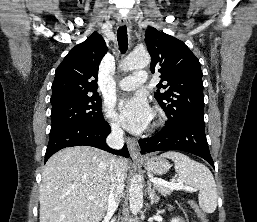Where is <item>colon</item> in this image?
Here are the masks:
<instances>
[{"label": "colon", "mask_w": 257, "mask_h": 222, "mask_svg": "<svg viewBox=\"0 0 257 222\" xmlns=\"http://www.w3.org/2000/svg\"><path fill=\"white\" fill-rule=\"evenodd\" d=\"M199 216H200L202 222H208L204 213L199 212Z\"/></svg>", "instance_id": "colon-1"}]
</instances>
